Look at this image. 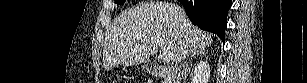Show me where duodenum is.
I'll return each mask as SVG.
<instances>
[{"label":"duodenum","mask_w":307,"mask_h":83,"mask_svg":"<svg viewBox=\"0 0 307 83\" xmlns=\"http://www.w3.org/2000/svg\"><path fill=\"white\" fill-rule=\"evenodd\" d=\"M152 72H153L154 74H162L161 69L158 68V67H154V68L152 69Z\"/></svg>","instance_id":"obj_1"}]
</instances>
